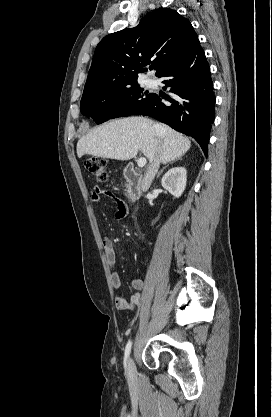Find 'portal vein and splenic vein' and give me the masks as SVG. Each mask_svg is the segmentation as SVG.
Instances as JSON below:
<instances>
[{
    "label": "portal vein and splenic vein",
    "mask_w": 272,
    "mask_h": 417,
    "mask_svg": "<svg viewBox=\"0 0 272 417\" xmlns=\"http://www.w3.org/2000/svg\"><path fill=\"white\" fill-rule=\"evenodd\" d=\"M146 163H147V160H146V158H145V157H141V158H139V159H138V161H137V165H138V167H140V168L144 167V166L146 165Z\"/></svg>",
    "instance_id": "portal-vein-and-splenic-vein-1"
}]
</instances>
